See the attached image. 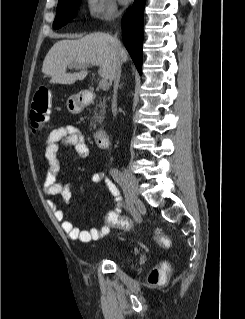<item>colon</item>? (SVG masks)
Returning <instances> with one entry per match:
<instances>
[{
	"label": "colon",
	"mask_w": 245,
	"mask_h": 319,
	"mask_svg": "<svg viewBox=\"0 0 245 319\" xmlns=\"http://www.w3.org/2000/svg\"><path fill=\"white\" fill-rule=\"evenodd\" d=\"M50 106L51 95L49 90L47 88H39L32 98L30 111V118L35 131H40L43 128L50 114ZM107 220L114 227L128 229L131 226L128 219L119 217L118 214L114 212L108 214ZM154 235L164 247L168 248L172 245V241L164 236L160 229H156ZM161 280L162 277L157 270L153 271L148 278L150 284H157L161 282Z\"/></svg>",
	"instance_id": "5ec220e1"
}]
</instances>
